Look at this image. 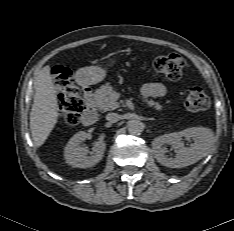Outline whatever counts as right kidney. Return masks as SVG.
Wrapping results in <instances>:
<instances>
[{"mask_svg": "<svg viewBox=\"0 0 234 231\" xmlns=\"http://www.w3.org/2000/svg\"><path fill=\"white\" fill-rule=\"evenodd\" d=\"M87 138H89V134L85 131H80L69 140L64 149L66 163L72 167L87 168L94 166L102 159L106 147L104 141L100 140L95 145L93 154L88 156V150L80 146V143Z\"/></svg>", "mask_w": 234, "mask_h": 231, "instance_id": "ca27d5eb", "label": "right kidney"}]
</instances>
